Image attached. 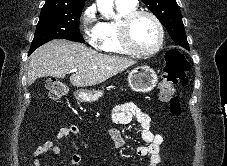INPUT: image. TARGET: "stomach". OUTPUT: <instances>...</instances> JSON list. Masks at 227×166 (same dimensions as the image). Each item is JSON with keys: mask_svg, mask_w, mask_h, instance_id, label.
<instances>
[{"mask_svg": "<svg viewBox=\"0 0 227 166\" xmlns=\"http://www.w3.org/2000/svg\"><path fill=\"white\" fill-rule=\"evenodd\" d=\"M157 81V74L149 66L137 67L128 76V83L131 89L141 93H148L153 90ZM74 95L76 100L80 102H94L103 96V92L80 89Z\"/></svg>", "mask_w": 227, "mask_h": 166, "instance_id": "obj_1", "label": "stomach"}]
</instances>
